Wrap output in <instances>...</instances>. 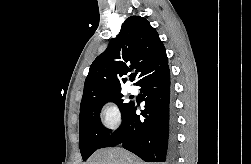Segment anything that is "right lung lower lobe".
Masks as SVG:
<instances>
[{"mask_svg":"<svg viewBox=\"0 0 251 164\" xmlns=\"http://www.w3.org/2000/svg\"><path fill=\"white\" fill-rule=\"evenodd\" d=\"M141 87L144 118L136 115L134 103L123 116L122 125L99 148L122 145L146 162L175 161L174 120L169 109L170 73L168 64L147 74Z\"/></svg>","mask_w":251,"mask_h":164,"instance_id":"right-lung-lower-lobe-1","label":"right lung lower lobe"}]
</instances>
